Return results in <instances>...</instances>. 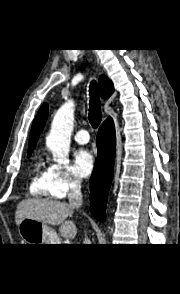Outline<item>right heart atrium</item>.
I'll return each mask as SVG.
<instances>
[{"label":"right heart atrium","instance_id":"obj_1","mask_svg":"<svg viewBox=\"0 0 180 294\" xmlns=\"http://www.w3.org/2000/svg\"><path fill=\"white\" fill-rule=\"evenodd\" d=\"M48 174L49 194L53 198H65L81 186V180L73 174L68 165L52 163L48 166Z\"/></svg>","mask_w":180,"mask_h":294}]
</instances>
